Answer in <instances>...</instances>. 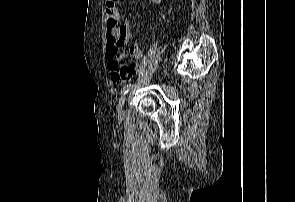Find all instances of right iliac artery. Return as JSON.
Returning <instances> with one entry per match:
<instances>
[{
    "label": "right iliac artery",
    "instance_id": "right-iliac-artery-1",
    "mask_svg": "<svg viewBox=\"0 0 295 202\" xmlns=\"http://www.w3.org/2000/svg\"><path fill=\"white\" fill-rule=\"evenodd\" d=\"M131 88H132V84L125 85L123 89L121 90V95H125L126 93H128Z\"/></svg>",
    "mask_w": 295,
    "mask_h": 202
}]
</instances>
